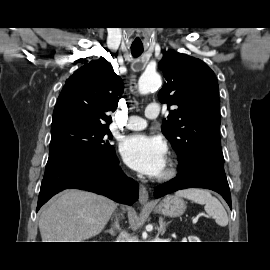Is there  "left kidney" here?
<instances>
[{"label": "left kidney", "instance_id": "left-kidney-1", "mask_svg": "<svg viewBox=\"0 0 270 270\" xmlns=\"http://www.w3.org/2000/svg\"><path fill=\"white\" fill-rule=\"evenodd\" d=\"M190 239L194 240V242H200V240L197 237H190Z\"/></svg>", "mask_w": 270, "mask_h": 270}]
</instances>
